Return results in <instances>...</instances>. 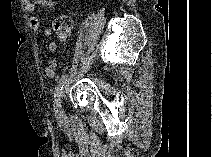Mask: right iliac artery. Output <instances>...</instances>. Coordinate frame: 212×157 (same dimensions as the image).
Wrapping results in <instances>:
<instances>
[{
    "instance_id": "1",
    "label": "right iliac artery",
    "mask_w": 212,
    "mask_h": 157,
    "mask_svg": "<svg viewBox=\"0 0 212 157\" xmlns=\"http://www.w3.org/2000/svg\"><path fill=\"white\" fill-rule=\"evenodd\" d=\"M66 81V76H63L54 91V111L55 113H59L61 112V100H60V96H61V90L63 89V86L65 84Z\"/></svg>"
}]
</instances>
